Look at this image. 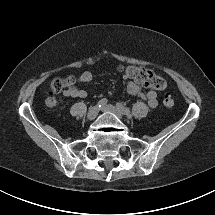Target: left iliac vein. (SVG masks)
<instances>
[{
  "label": "left iliac vein",
  "instance_id": "left-iliac-vein-1",
  "mask_svg": "<svg viewBox=\"0 0 215 215\" xmlns=\"http://www.w3.org/2000/svg\"><path fill=\"white\" fill-rule=\"evenodd\" d=\"M101 110L104 111V112L112 113V114L116 115L120 119H122L123 115H124L120 110L116 109L112 105H106V106L102 107Z\"/></svg>",
  "mask_w": 215,
  "mask_h": 215
}]
</instances>
